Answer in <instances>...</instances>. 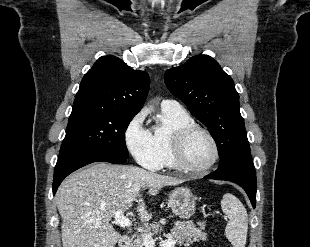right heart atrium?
Returning a JSON list of instances; mask_svg holds the SVG:
<instances>
[{
  "mask_svg": "<svg viewBox=\"0 0 310 247\" xmlns=\"http://www.w3.org/2000/svg\"><path fill=\"white\" fill-rule=\"evenodd\" d=\"M146 111H140L128 123L124 141L128 151L142 166L152 169L158 166L151 132L145 127Z\"/></svg>",
  "mask_w": 310,
  "mask_h": 247,
  "instance_id": "d8ad5b80",
  "label": "right heart atrium"
}]
</instances>
